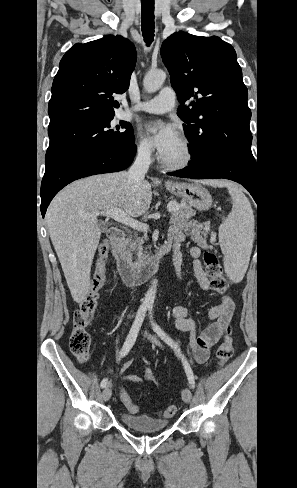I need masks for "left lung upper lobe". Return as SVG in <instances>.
I'll return each instance as SVG.
<instances>
[{
  "label": "left lung upper lobe",
  "mask_w": 297,
  "mask_h": 488,
  "mask_svg": "<svg viewBox=\"0 0 297 488\" xmlns=\"http://www.w3.org/2000/svg\"><path fill=\"white\" fill-rule=\"evenodd\" d=\"M161 56L181 103L177 113L191 142L190 162L215 154L255 161L248 92L234 48L217 36L180 31L163 42Z\"/></svg>",
  "instance_id": "1"
}]
</instances>
